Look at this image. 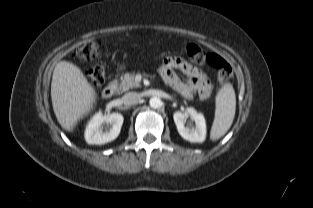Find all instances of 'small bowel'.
I'll use <instances>...</instances> for the list:
<instances>
[{"label": "small bowel", "instance_id": "c3829d8e", "mask_svg": "<svg viewBox=\"0 0 313 208\" xmlns=\"http://www.w3.org/2000/svg\"><path fill=\"white\" fill-rule=\"evenodd\" d=\"M175 70L185 74L187 80H180ZM160 73L165 82L185 98H190L197 93L201 98L206 99L211 94L212 86L205 73L179 57L165 59Z\"/></svg>", "mask_w": 313, "mask_h": 208}]
</instances>
